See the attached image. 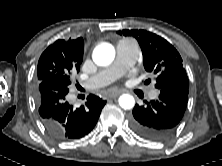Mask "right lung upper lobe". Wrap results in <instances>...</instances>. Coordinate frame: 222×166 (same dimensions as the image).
<instances>
[{"label":"right lung upper lobe","instance_id":"cb5924a9","mask_svg":"<svg viewBox=\"0 0 222 166\" xmlns=\"http://www.w3.org/2000/svg\"><path fill=\"white\" fill-rule=\"evenodd\" d=\"M78 40H82V38H77L75 40H62L59 39L57 40L54 44L50 45L44 52L43 54H74L78 52L80 49L78 47Z\"/></svg>","mask_w":222,"mask_h":166}]
</instances>
